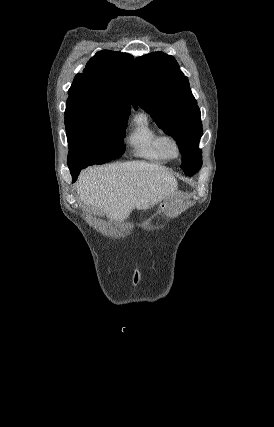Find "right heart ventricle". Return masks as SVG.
Instances as JSON below:
<instances>
[{"mask_svg":"<svg viewBox=\"0 0 274 427\" xmlns=\"http://www.w3.org/2000/svg\"><path fill=\"white\" fill-rule=\"evenodd\" d=\"M126 145L133 157L156 164L167 160L161 147V133L146 116L138 118V126L127 136Z\"/></svg>","mask_w":274,"mask_h":427,"instance_id":"e07e8e85","label":"right heart ventricle"}]
</instances>
